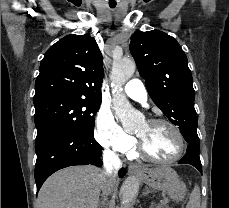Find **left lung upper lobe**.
<instances>
[{
    "label": "left lung upper lobe",
    "mask_w": 229,
    "mask_h": 208,
    "mask_svg": "<svg viewBox=\"0 0 229 208\" xmlns=\"http://www.w3.org/2000/svg\"><path fill=\"white\" fill-rule=\"evenodd\" d=\"M130 52L153 102L181 134L196 130L192 74L176 39L159 30L137 31L131 36Z\"/></svg>",
    "instance_id": "obj_1"
}]
</instances>
